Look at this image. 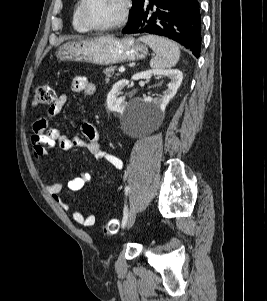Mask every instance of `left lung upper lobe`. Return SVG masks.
<instances>
[{
    "label": "left lung upper lobe",
    "instance_id": "1",
    "mask_svg": "<svg viewBox=\"0 0 267 301\" xmlns=\"http://www.w3.org/2000/svg\"><path fill=\"white\" fill-rule=\"evenodd\" d=\"M133 4H132V8L129 12V19L132 21L134 20V18L137 16L139 10L141 9V7L143 6L145 0H132Z\"/></svg>",
    "mask_w": 267,
    "mask_h": 301
}]
</instances>
